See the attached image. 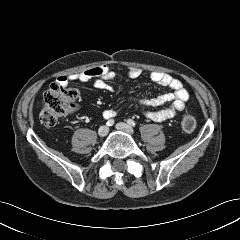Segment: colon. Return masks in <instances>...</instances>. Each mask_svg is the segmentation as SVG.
I'll use <instances>...</instances> for the list:
<instances>
[{"label":"colon","mask_w":240,"mask_h":240,"mask_svg":"<svg viewBox=\"0 0 240 240\" xmlns=\"http://www.w3.org/2000/svg\"><path fill=\"white\" fill-rule=\"evenodd\" d=\"M78 99L75 89L61 85L51 86L44 94L40 113L41 122L46 126H54L57 122L70 114ZM180 126L183 131L190 133L196 128V120L193 115L184 113L180 117Z\"/></svg>","instance_id":"colon-1"}]
</instances>
